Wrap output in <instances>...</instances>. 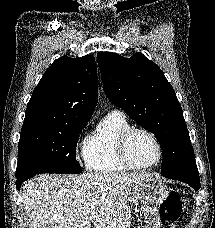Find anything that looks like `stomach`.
I'll list each match as a JSON object with an SVG mask.
<instances>
[{
    "label": "stomach",
    "mask_w": 215,
    "mask_h": 228,
    "mask_svg": "<svg viewBox=\"0 0 215 228\" xmlns=\"http://www.w3.org/2000/svg\"><path fill=\"white\" fill-rule=\"evenodd\" d=\"M131 194L143 208V228H161L159 208L170 192L166 184L146 178L131 188Z\"/></svg>",
    "instance_id": "1"
}]
</instances>
